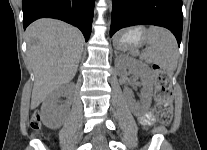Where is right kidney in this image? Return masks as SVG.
I'll return each instance as SVG.
<instances>
[{
    "label": "right kidney",
    "instance_id": "1",
    "mask_svg": "<svg viewBox=\"0 0 207 150\" xmlns=\"http://www.w3.org/2000/svg\"><path fill=\"white\" fill-rule=\"evenodd\" d=\"M71 93L70 85H63L55 89L43 102L41 107V119L50 129L60 128L69 110V102L63 106H57L61 96Z\"/></svg>",
    "mask_w": 207,
    "mask_h": 150
}]
</instances>
